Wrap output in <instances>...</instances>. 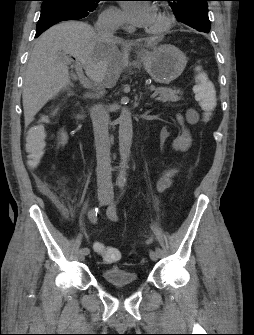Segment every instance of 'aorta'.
Here are the masks:
<instances>
[{
  "mask_svg": "<svg viewBox=\"0 0 254 335\" xmlns=\"http://www.w3.org/2000/svg\"><path fill=\"white\" fill-rule=\"evenodd\" d=\"M132 137L133 125L131 113L128 108L124 107L119 117V153L121 161L116 181L119 186H124L126 183V170L131 153Z\"/></svg>",
  "mask_w": 254,
  "mask_h": 335,
  "instance_id": "762f6f07",
  "label": "aorta"
}]
</instances>
